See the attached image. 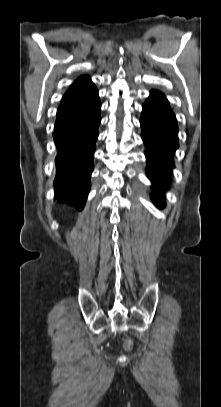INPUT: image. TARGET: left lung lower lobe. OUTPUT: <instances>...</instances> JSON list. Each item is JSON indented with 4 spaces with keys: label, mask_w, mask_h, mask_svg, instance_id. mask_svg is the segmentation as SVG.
Listing matches in <instances>:
<instances>
[{
    "label": "left lung lower lobe",
    "mask_w": 221,
    "mask_h": 407,
    "mask_svg": "<svg viewBox=\"0 0 221 407\" xmlns=\"http://www.w3.org/2000/svg\"><path fill=\"white\" fill-rule=\"evenodd\" d=\"M140 124L146 146L147 175L154 184L152 199L162 208L165 205L163 192L170 183L173 155L178 148V127L175 115L161 92H151L143 105Z\"/></svg>",
    "instance_id": "left-lung-lower-lobe-1"
}]
</instances>
